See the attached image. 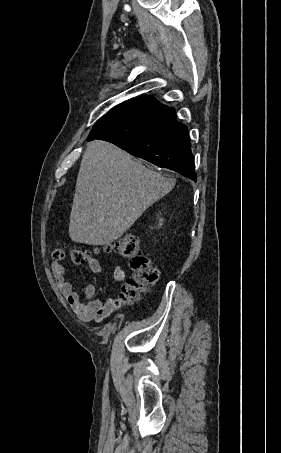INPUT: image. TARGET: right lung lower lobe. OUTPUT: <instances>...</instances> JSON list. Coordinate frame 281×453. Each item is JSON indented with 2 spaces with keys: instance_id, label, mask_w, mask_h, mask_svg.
Returning a JSON list of instances; mask_svg holds the SVG:
<instances>
[{
  "instance_id": "obj_1",
  "label": "right lung lower lobe",
  "mask_w": 281,
  "mask_h": 453,
  "mask_svg": "<svg viewBox=\"0 0 281 453\" xmlns=\"http://www.w3.org/2000/svg\"><path fill=\"white\" fill-rule=\"evenodd\" d=\"M109 141L159 167L196 180L187 127L152 96L123 102L97 121L88 141Z\"/></svg>"
}]
</instances>
